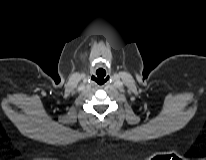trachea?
Segmentation results:
<instances>
[{"label":"trachea","mask_w":206,"mask_h":160,"mask_svg":"<svg viewBox=\"0 0 206 160\" xmlns=\"http://www.w3.org/2000/svg\"><path fill=\"white\" fill-rule=\"evenodd\" d=\"M97 78L96 77H93V80H95L97 83L99 84H103L105 82V79H104V76L106 75V72H102V73H97Z\"/></svg>","instance_id":"3493384b"}]
</instances>
